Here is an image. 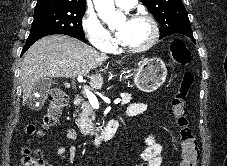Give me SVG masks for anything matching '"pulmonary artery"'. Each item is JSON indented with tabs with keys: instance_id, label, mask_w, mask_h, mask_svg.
I'll use <instances>...</instances> for the list:
<instances>
[{
	"instance_id": "1",
	"label": "pulmonary artery",
	"mask_w": 227,
	"mask_h": 166,
	"mask_svg": "<svg viewBox=\"0 0 227 166\" xmlns=\"http://www.w3.org/2000/svg\"><path fill=\"white\" fill-rule=\"evenodd\" d=\"M136 2L137 0H115V4L121 9H131Z\"/></svg>"
}]
</instances>
